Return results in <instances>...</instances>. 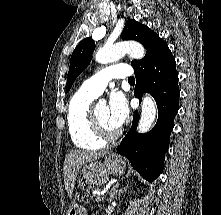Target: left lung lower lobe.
<instances>
[{
    "label": "left lung lower lobe",
    "instance_id": "0a47b994",
    "mask_svg": "<svg viewBox=\"0 0 221 215\" xmlns=\"http://www.w3.org/2000/svg\"><path fill=\"white\" fill-rule=\"evenodd\" d=\"M135 77V97L141 99L144 92L150 93L158 107V120L150 132L138 134L139 115L135 111L131 129L117 152L128 158L143 178L152 182L162 171L179 108L178 72L168 45L161 46L147 65L135 70Z\"/></svg>",
    "mask_w": 221,
    "mask_h": 215
}]
</instances>
